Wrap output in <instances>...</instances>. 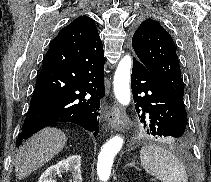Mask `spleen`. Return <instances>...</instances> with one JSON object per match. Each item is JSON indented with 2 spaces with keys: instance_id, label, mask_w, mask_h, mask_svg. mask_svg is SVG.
Listing matches in <instances>:
<instances>
[{
  "instance_id": "3e777b00",
  "label": "spleen",
  "mask_w": 211,
  "mask_h": 182,
  "mask_svg": "<svg viewBox=\"0 0 211 182\" xmlns=\"http://www.w3.org/2000/svg\"><path fill=\"white\" fill-rule=\"evenodd\" d=\"M144 170L161 182H188L181 161L170 151L156 145H145L140 151Z\"/></svg>"
}]
</instances>
